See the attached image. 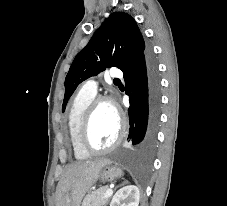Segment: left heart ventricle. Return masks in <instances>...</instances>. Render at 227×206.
<instances>
[{
  "label": "left heart ventricle",
  "instance_id": "left-heart-ventricle-1",
  "mask_svg": "<svg viewBox=\"0 0 227 206\" xmlns=\"http://www.w3.org/2000/svg\"><path fill=\"white\" fill-rule=\"evenodd\" d=\"M119 130L115 109L110 104H101L95 111L90 127V142L96 148H105L113 143Z\"/></svg>",
  "mask_w": 227,
  "mask_h": 206
}]
</instances>
